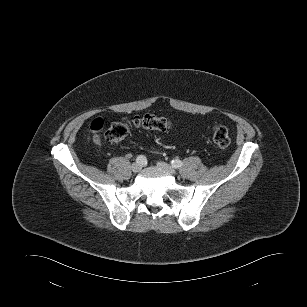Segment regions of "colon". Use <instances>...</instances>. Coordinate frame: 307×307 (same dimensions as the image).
I'll use <instances>...</instances> for the list:
<instances>
[{
    "instance_id": "5ec220e1",
    "label": "colon",
    "mask_w": 307,
    "mask_h": 307,
    "mask_svg": "<svg viewBox=\"0 0 307 307\" xmlns=\"http://www.w3.org/2000/svg\"><path fill=\"white\" fill-rule=\"evenodd\" d=\"M130 125L160 132L168 131L172 127V123L168 119L147 113L135 116L131 120H122L113 123L104 134L105 140L111 145L121 143L126 137ZM90 128L94 133L101 131L103 128V120L100 118L94 119L91 122ZM212 138L215 145L219 148H226L231 142L227 128L221 125L213 127Z\"/></svg>"
}]
</instances>
